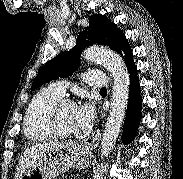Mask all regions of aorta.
Segmentation results:
<instances>
[{
  "mask_svg": "<svg viewBox=\"0 0 183 179\" xmlns=\"http://www.w3.org/2000/svg\"><path fill=\"white\" fill-rule=\"evenodd\" d=\"M83 58L100 62L114 79L110 112L101 142V158H103L113 149L119 136L129 96V74L122 58L110 49L91 46L85 49Z\"/></svg>",
  "mask_w": 183,
  "mask_h": 179,
  "instance_id": "obj_1",
  "label": "aorta"
}]
</instances>
